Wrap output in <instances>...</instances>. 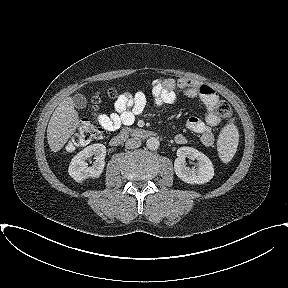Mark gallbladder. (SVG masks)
<instances>
[{"mask_svg": "<svg viewBox=\"0 0 288 288\" xmlns=\"http://www.w3.org/2000/svg\"><path fill=\"white\" fill-rule=\"evenodd\" d=\"M73 104L77 109H83L87 105L86 97L82 94H75L73 96Z\"/></svg>", "mask_w": 288, "mask_h": 288, "instance_id": "bac80fb5", "label": "gallbladder"}]
</instances>
